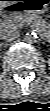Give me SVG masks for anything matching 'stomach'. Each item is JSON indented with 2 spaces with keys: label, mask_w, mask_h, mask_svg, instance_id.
I'll use <instances>...</instances> for the list:
<instances>
[{
  "label": "stomach",
  "mask_w": 50,
  "mask_h": 111,
  "mask_svg": "<svg viewBox=\"0 0 50 111\" xmlns=\"http://www.w3.org/2000/svg\"><path fill=\"white\" fill-rule=\"evenodd\" d=\"M49 1L50 0H25L24 7L27 12L41 14L48 9Z\"/></svg>",
  "instance_id": "1"
}]
</instances>
